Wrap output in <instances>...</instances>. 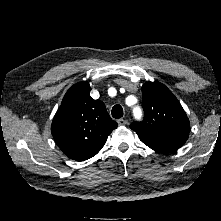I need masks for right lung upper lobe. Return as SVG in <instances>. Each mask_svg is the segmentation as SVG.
Instances as JSON below:
<instances>
[{
  "mask_svg": "<svg viewBox=\"0 0 221 221\" xmlns=\"http://www.w3.org/2000/svg\"><path fill=\"white\" fill-rule=\"evenodd\" d=\"M117 126L104 103L91 98L88 82H80L65 94L51 132L61 151L71 159L84 161L101 150Z\"/></svg>",
  "mask_w": 221,
  "mask_h": 221,
  "instance_id": "right-lung-upper-lobe-1",
  "label": "right lung upper lobe"
}]
</instances>
